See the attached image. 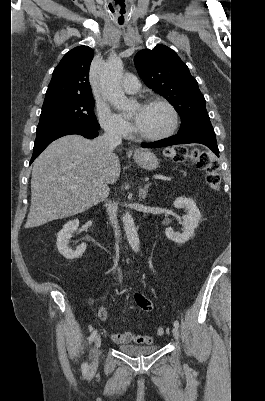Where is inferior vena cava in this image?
Here are the masks:
<instances>
[{"label": "inferior vena cava", "mask_w": 265, "mask_h": 401, "mask_svg": "<svg viewBox=\"0 0 265 401\" xmlns=\"http://www.w3.org/2000/svg\"><path fill=\"white\" fill-rule=\"evenodd\" d=\"M103 140H107L109 148H115L117 144H121L122 138L117 130L115 128L114 124H109V126H106L105 132L102 136ZM108 186L105 184L103 188V192H106V196L108 194ZM104 196V198H106ZM105 207H107V213L109 215V221L113 227V231L115 233L116 239H119L120 237V231L118 227V221H117V203H112V201H108V203H105Z\"/></svg>", "instance_id": "obj_1"}]
</instances>
